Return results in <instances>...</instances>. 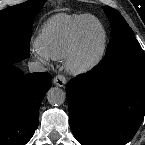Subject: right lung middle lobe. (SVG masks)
<instances>
[{"mask_svg": "<svg viewBox=\"0 0 145 145\" xmlns=\"http://www.w3.org/2000/svg\"><path fill=\"white\" fill-rule=\"evenodd\" d=\"M43 5L42 1L29 0L0 10V64L29 57L31 26Z\"/></svg>", "mask_w": 145, "mask_h": 145, "instance_id": "dd1d6c3e", "label": "right lung middle lobe"}]
</instances>
